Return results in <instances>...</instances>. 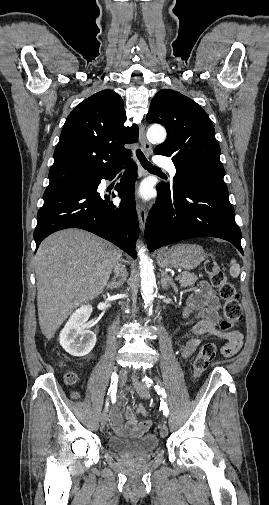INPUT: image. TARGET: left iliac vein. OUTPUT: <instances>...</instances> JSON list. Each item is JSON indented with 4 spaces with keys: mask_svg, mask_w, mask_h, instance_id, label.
Wrapping results in <instances>:
<instances>
[{
    "mask_svg": "<svg viewBox=\"0 0 269 505\" xmlns=\"http://www.w3.org/2000/svg\"><path fill=\"white\" fill-rule=\"evenodd\" d=\"M132 381L134 388L136 389L137 393L142 397V398H148L149 397V391L145 387V385L138 379L136 374H132ZM160 434L164 438L168 435V427L165 422H163L160 427Z\"/></svg>",
    "mask_w": 269,
    "mask_h": 505,
    "instance_id": "4c4485c4",
    "label": "left iliac vein"
}]
</instances>
